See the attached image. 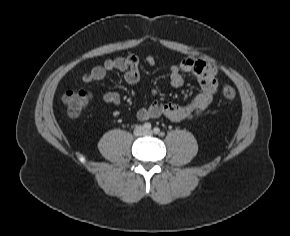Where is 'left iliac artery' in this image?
Wrapping results in <instances>:
<instances>
[{"instance_id":"obj_1","label":"left iliac artery","mask_w":290,"mask_h":236,"mask_svg":"<svg viewBox=\"0 0 290 236\" xmlns=\"http://www.w3.org/2000/svg\"><path fill=\"white\" fill-rule=\"evenodd\" d=\"M153 132H154L155 134H159V133H160V129H159L158 127H155V128L153 129Z\"/></svg>"}]
</instances>
